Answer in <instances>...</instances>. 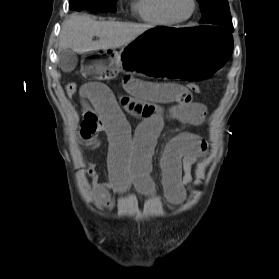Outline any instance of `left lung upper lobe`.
I'll return each mask as SVG.
<instances>
[{"label":"left lung upper lobe","mask_w":279,"mask_h":279,"mask_svg":"<svg viewBox=\"0 0 279 279\" xmlns=\"http://www.w3.org/2000/svg\"><path fill=\"white\" fill-rule=\"evenodd\" d=\"M202 11L200 23L225 25L232 23L227 0H197Z\"/></svg>","instance_id":"1"}]
</instances>
